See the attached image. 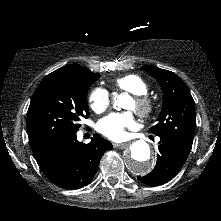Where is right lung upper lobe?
Listing matches in <instances>:
<instances>
[{"label": "right lung upper lobe", "mask_w": 221, "mask_h": 221, "mask_svg": "<svg viewBox=\"0 0 221 221\" xmlns=\"http://www.w3.org/2000/svg\"><path fill=\"white\" fill-rule=\"evenodd\" d=\"M62 70H72V71H84V70H88L87 68L85 67H82L80 65H77V64H72V65H67V66H64L62 68H60Z\"/></svg>", "instance_id": "cb5924a9"}]
</instances>
